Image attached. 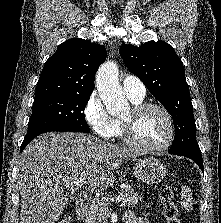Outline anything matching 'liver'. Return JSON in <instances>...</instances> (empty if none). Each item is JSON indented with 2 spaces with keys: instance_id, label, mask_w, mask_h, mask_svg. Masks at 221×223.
<instances>
[{
  "instance_id": "1",
  "label": "liver",
  "mask_w": 221,
  "mask_h": 223,
  "mask_svg": "<svg viewBox=\"0 0 221 223\" xmlns=\"http://www.w3.org/2000/svg\"><path fill=\"white\" fill-rule=\"evenodd\" d=\"M139 154L81 133L49 132L22 152L16 180L21 195L20 223H56L69 201L61 185L88 184L102 191L114 182V170Z\"/></svg>"
}]
</instances>
